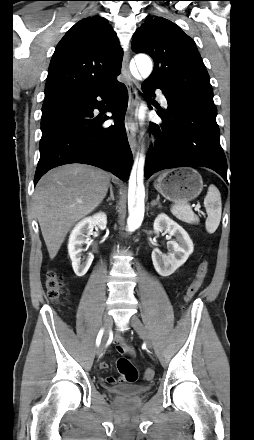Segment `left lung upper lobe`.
Listing matches in <instances>:
<instances>
[{
	"label": "left lung upper lobe",
	"instance_id": "obj_1",
	"mask_svg": "<svg viewBox=\"0 0 254 440\" xmlns=\"http://www.w3.org/2000/svg\"><path fill=\"white\" fill-rule=\"evenodd\" d=\"M132 50L153 58L154 69L145 82L160 87L168 99L189 100L216 111L210 78L195 42L175 23L147 18L132 37Z\"/></svg>",
	"mask_w": 254,
	"mask_h": 440
}]
</instances>
